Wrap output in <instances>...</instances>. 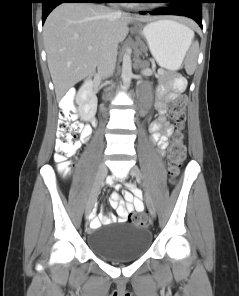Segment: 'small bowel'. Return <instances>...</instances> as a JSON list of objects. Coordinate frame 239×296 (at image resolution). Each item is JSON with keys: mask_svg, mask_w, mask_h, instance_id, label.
Masks as SVG:
<instances>
[{"mask_svg": "<svg viewBox=\"0 0 239 296\" xmlns=\"http://www.w3.org/2000/svg\"><path fill=\"white\" fill-rule=\"evenodd\" d=\"M185 87L183 79H177L173 84H162L157 89L155 109L157 111L156 118L150 123L149 131L151 133V140L154 142L159 150L164 153L168 147V139L172 134L173 127L167 119V104L176 100L181 96ZM92 129L89 125H84L81 130V141L87 142ZM123 202L118 192H113L111 195L110 206L116 210L118 221L125 222L130 215L136 211L140 212L144 209L142 200V192L132 183L128 184V188L122 192ZM90 229H96L101 224H110L116 222L117 218L113 215H95L90 216Z\"/></svg>", "mask_w": 239, "mask_h": 296, "instance_id": "c3829d8e", "label": "small bowel"}]
</instances>
